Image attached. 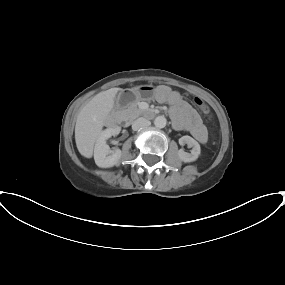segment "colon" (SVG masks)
Here are the masks:
<instances>
[{
    "label": "colon",
    "mask_w": 285,
    "mask_h": 285,
    "mask_svg": "<svg viewBox=\"0 0 285 285\" xmlns=\"http://www.w3.org/2000/svg\"><path fill=\"white\" fill-rule=\"evenodd\" d=\"M130 96H126L125 100H129ZM194 103L196 106H198L202 112L206 115V118H209V109L208 107L204 104V102L200 98H195Z\"/></svg>",
    "instance_id": "5ec220e1"
}]
</instances>
